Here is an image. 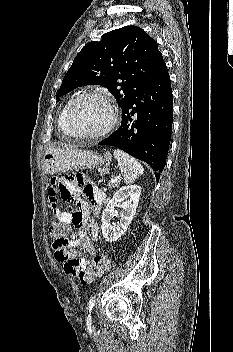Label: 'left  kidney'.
Segmentation results:
<instances>
[{"instance_id": "1", "label": "left kidney", "mask_w": 233, "mask_h": 352, "mask_svg": "<svg viewBox=\"0 0 233 352\" xmlns=\"http://www.w3.org/2000/svg\"><path fill=\"white\" fill-rule=\"evenodd\" d=\"M141 195V187L139 185H130L119 188L114 196L107 203L102 213V234L107 242H114L119 239L127 231L131 223ZM121 207L122 213L117 224H112L111 220L115 214V208Z\"/></svg>"}]
</instances>
